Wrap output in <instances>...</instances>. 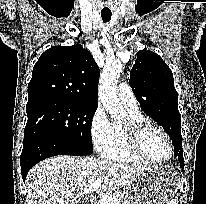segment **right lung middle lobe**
Here are the masks:
<instances>
[{
	"mask_svg": "<svg viewBox=\"0 0 206 204\" xmlns=\"http://www.w3.org/2000/svg\"><path fill=\"white\" fill-rule=\"evenodd\" d=\"M96 109L97 104L55 98L28 101L24 143L35 138H52L90 155L91 121Z\"/></svg>",
	"mask_w": 206,
	"mask_h": 204,
	"instance_id": "dd1d6c3e",
	"label": "right lung middle lobe"
}]
</instances>
